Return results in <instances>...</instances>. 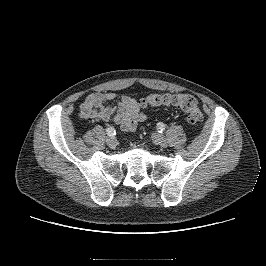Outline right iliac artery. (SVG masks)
Instances as JSON below:
<instances>
[{"instance_id":"82829eb1","label":"right iliac artery","mask_w":266,"mask_h":266,"mask_svg":"<svg viewBox=\"0 0 266 266\" xmlns=\"http://www.w3.org/2000/svg\"><path fill=\"white\" fill-rule=\"evenodd\" d=\"M106 132H107L108 136H113V135H115V129H114V127H112V126L108 127V128L106 129Z\"/></svg>"}]
</instances>
